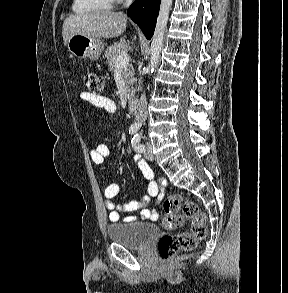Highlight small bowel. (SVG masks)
<instances>
[{"label":"small bowel","mask_w":288,"mask_h":293,"mask_svg":"<svg viewBox=\"0 0 288 293\" xmlns=\"http://www.w3.org/2000/svg\"><path fill=\"white\" fill-rule=\"evenodd\" d=\"M82 100L89 102L94 107L105 110L110 114H114L117 111L116 103L106 95H96L90 92H82L80 94ZM110 150L106 144H98L90 149V157L95 164H102L104 160L109 156ZM134 162L140 169L144 181L147 185L148 195L144 196L141 201H130L125 204H119L113 201L118 195L120 187L117 183H110L105 191V204L109 211V220L113 223L123 220L125 222H133L136 220H152L158 219V212L155 209H148L146 206L150 203L152 198L158 201L162 200L163 193L160 191L159 185L154 181V175L152 169L145 162L140 155L134 156ZM139 211L138 215H132L130 213ZM126 214L122 217L121 213Z\"/></svg>","instance_id":"1"}]
</instances>
